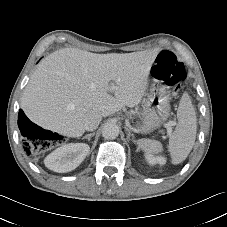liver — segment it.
Wrapping results in <instances>:
<instances>
[{
	"instance_id": "6515ba94",
	"label": "liver",
	"mask_w": 227,
	"mask_h": 227,
	"mask_svg": "<svg viewBox=\"0 0 227 227\" xmlns=\"http://www.w3.org/2000/svg\"><path fill=\"white\" fill-rule=\"evenodd\" d=\"M155 51L95 54L65 48L38 66L21 98L26 116L44 129L78 138L92 113L110 116L138 105L148 88Z\"/></svg>"
}]
</instances>
